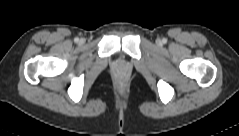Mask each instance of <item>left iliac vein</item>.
Instances as JSON below:
<instances>
[{"label":"left iliac vein","mask_w":239,"mask_h":136,"mask_svg":"<svg viewBox=\"0 0 239 136\" xmlns=\"http://www.w3.org/2000/svg\"><path fill=\"white\" fill-rule=\"evenodd\" d=\"M156 43H157L158 45H162V41H161L160 39H157V40H156Z\"/></svg>","instance_id":"1"}]
</instances>
